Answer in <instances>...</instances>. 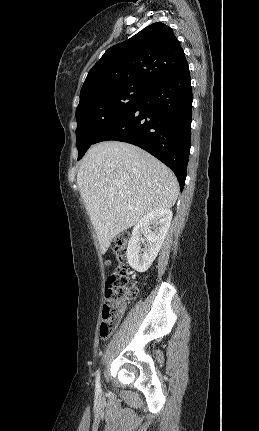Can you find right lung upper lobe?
<instances>
[{
  "mask_svg": "<svg viewBox=\"0 0 259 431\" xmlns=\"http://www.w3.org/2000/svg\"><path fill=\"white\" fill-rule=\"evenodd\" d=\"M187 67L184 51L172 29L160 22L153 23L103 54L86 77L80 102L120 87L149 89Z\"/></svg>",
  "mask_w": 259,
  "mask_h": 431,
  "instance_id": "obj_1",
  "label": "right lung upper lobe"
}]
</instances>
